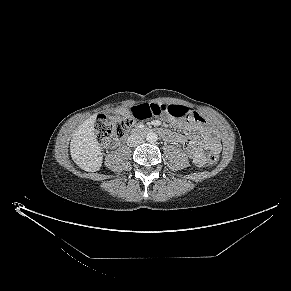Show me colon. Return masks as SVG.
Instances as JSON below:
<instances>
[{"mask_svg": "<svg viewBox=\"0 0 291 291\" xmlns=\"http://www.w3.org/2000/svg\"><path fill=\"white\" fill-rule=\"evenodd\" d=\"M167 113L175 118H192L197 119L199 115L187 107L181 105H158L143 104L134 106L128 115L124 117H112L101 115L95 123V136L98 142H106L111 139H120L124 137L129 127L137 120L148 119ZM219 152L211 150L208 153L207 160L210 164L217 162Z\"/></svg>", "mask_w": 291, "mask_h": 291, "instance_id": "obj_1", "label": "colon"}]
</instances>
